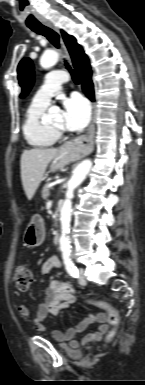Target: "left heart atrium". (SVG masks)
I'll return each instance as SVG.
<instances>
[{"mask_svg": "<svg viewBox=\"0 0 145 385\" xmlns=\"http://www.w3.org/2000/svg\"><path fill=\"white\" fill-rule=\"evenodd\" d=\"M64 124L69 130H81L90 120V107L80 95H72L63 101Z\"/></svg>", "mask_w": 145, "mask_h": 385, "instance_id": "obj_1", "label": "left heart atrium"}]
</instances>
